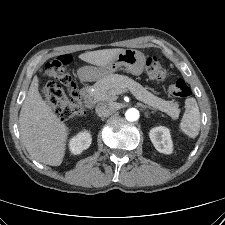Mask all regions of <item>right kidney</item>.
<instances>
[{
	"instance_id": "ca27d5eb",
	"label": "right kidney",
	"mask_w": 225,
	"mask_h": 225,
	"mask_svg": "<svg viewBox=\"0 0 225 225\" xmlns=\"http://www.w3.org/2000/svg\"><path fill=\"white\" fill-rule=\"evenodd\" d=\"M91 134L87 131H82L74 136L69 142V148L72 154H80L87 149L91 144Z\"/></svg>"
}]
</instances>
